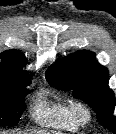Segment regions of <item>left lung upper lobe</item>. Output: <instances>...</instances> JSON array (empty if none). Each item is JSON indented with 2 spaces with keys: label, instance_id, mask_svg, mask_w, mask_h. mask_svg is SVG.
Wrapping results in <instances>:
<instances>
[{
  "label": "left lung upper lobe",
  "instance_id": "obj_1",
  "mask_svg": "<svg viewBox=\"0 0 116 134\" xmlns=\"http://www.w3.org/2000/svg\"><path fill=\"white\" fill-rule=\"evenodd\" d=\"M94 57L87 50L73 53L50 66L45 76L56 89L73 90V96L87 103L97 113L98 121L116 134V99L108 86V70Z\"/></svg>",
  "mask_w": 116,
  "mask_h": 134
}]
</instances>
